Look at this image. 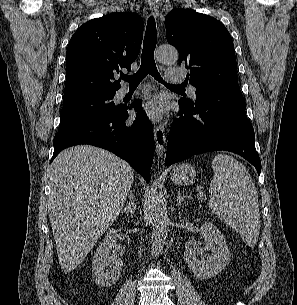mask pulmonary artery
Listing matches in <instances>:
<instances>
[{"label":"pulmonary artery","mask_w":297,"mask_h":305,"mask_svg":"<svg viewBox=\"0 0 297 305\" xmlns=\"http://www.w3.org/2000/svg\"><path fill=\"white\" fill-rule=\"evenodd\" d=\"M166 78L171 83H182L183 82V75L181 69H170L166 72ZM189 91L191 95L194 97L196 92V87L193 85H189ZM128 88H121L120 95L125 96L128 94Z\"/></svg>","instance_id":"pulmonary-artery-1"}]
</instances>
